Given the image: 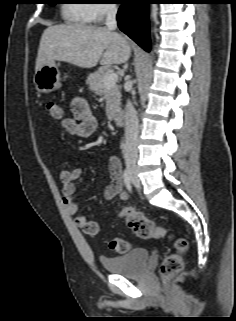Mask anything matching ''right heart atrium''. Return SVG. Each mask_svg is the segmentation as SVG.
Returning a JSON list of instances; mask_svg holds the SVG:
<instances>
[{"label": "right heart atrium", "mask_w": 236, "mask_h": 321, "mask_svg": "<svg viewBox=\"0 0 236 321\" xmlns=\"http://www.w3.org/2000/svg\"><path fill=\"white\" fill-rule=\"evenodd\" d=\"M94 2L95 3L89 5L88 9V18L90 21L100 22L116 10L113 0H94Z\"/></svg>", "instance_id": "obj_1"}]
</instances>
